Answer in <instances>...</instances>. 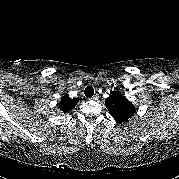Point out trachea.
<instances>
[{
    "label": "trachea",
    "mask_w": 179,
    "mask_h": 179,
    "mask_svg": "<svg viewBox=\"0 0 179 179\" xmlns=\"http://www.w3.org/2000/svg\"><path fill=\"white\" fill-rule=\"evenodd\" d=\"M84 93H85V96H86V97L91 98V97L94 95V89H93V87H92V86H87V87L85 88Z\"/></svg>",
    "instance_id": "trachea-1"
}]
</instances>
